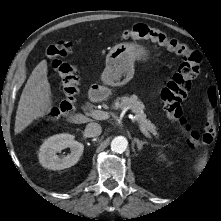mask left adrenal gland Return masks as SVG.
Instances as JSON below:
<instances>
[{
  "label": "left adrenal gland",
  "instance_id": "1",
  "mask_svg": "<svg viewBox=\"0 0 221 221\" xmlns=\"http://www.w3.org/2000/svg\"><path fill=\"white\" fill-rule=\"evenodd\" d=\"M134 141L137 143V148L139 151L142 150L144 144H147V142L140 141L138 138H134Z\"/></svg>",
  "mask_w": 221,
  "mask_h": 221
}]
</instances>
